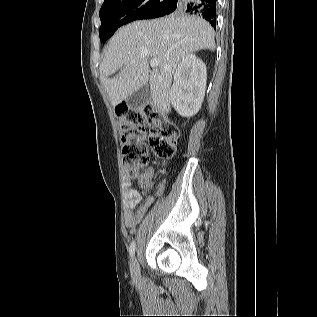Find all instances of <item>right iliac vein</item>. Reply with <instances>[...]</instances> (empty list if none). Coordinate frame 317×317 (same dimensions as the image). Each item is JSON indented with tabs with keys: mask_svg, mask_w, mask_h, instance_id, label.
Here are the masks:
<instances>
[{
	"mask_svg": "<svg viewBox=\"0 0 317 317\" xmlns=\"http://www.w3.org/2000/svg\"><path fill=\"white\" fill-rule=\"evenodd\" d=\"M130 271L133 278H138L140 275L137 258L134 256L130 261Z\"/></svg>",
	"mask_w": 317,
	"mask_h": 317,
	"instance_id": "1",
	"label": "right iliac vein"
}]
</instances>
